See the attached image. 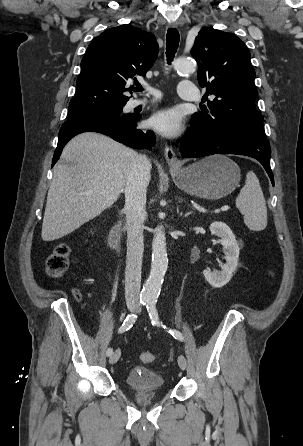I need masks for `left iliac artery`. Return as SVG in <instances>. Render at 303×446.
Here are the masks:
<instances>
[{
	"label": "left iliac artery",
	"mask_w": 303,
	"mask_h": 446,
	"mask_svg": "<svg viewBox=\"0 0 303 446\" xmlns=\"http://www.w3.org/2000/svg\"><path fill=\"white\" fill-rule=\"evenodd\" d=\"M156 300L155 299H150L147 301V310H148V314L149 317L151 319V322L153 325L155 326H159L160 325V321H159V316H158V312L156 309ZM164 329L166 328L165 326H163ZM168 332L176 339L183 341L184 337L182 335V333H180L177 330L174 329H168Z\"/></svg>",
	"instance_id": "1"
}]
</instances>
